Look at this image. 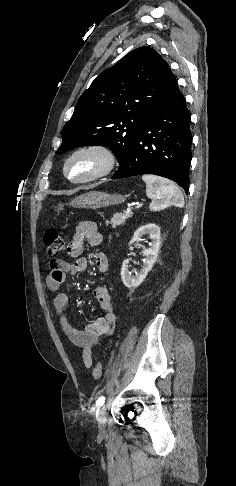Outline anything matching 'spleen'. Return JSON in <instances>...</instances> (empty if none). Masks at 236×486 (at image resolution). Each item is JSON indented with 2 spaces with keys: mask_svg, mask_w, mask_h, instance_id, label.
Wrapping results in <instances>:
<instances>
[{
  "mask_svg": "<svg viewBox=\"0 0 236 486\" xmlns=\"http://www.w3.org/2000/svg\"><path fill=\"white\" fill-rule=\"evenodd\" d=\"M142 180L146 183V195L151 199L150 210L158 211L171 205L184 206L183 194L172 181L148 174L143 175Z\"/></svg>",
  "mask_w": 236,
  "mask_h": 486,
  "instance_id": "spleen-1",
  "label": "spleen"
}]
</instances>
